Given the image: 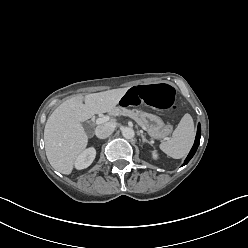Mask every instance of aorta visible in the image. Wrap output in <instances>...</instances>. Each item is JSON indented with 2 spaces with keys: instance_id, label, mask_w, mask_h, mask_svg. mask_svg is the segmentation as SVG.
<instances>
[{
  "instance_id": "obj_1",
  "label": "aorta",
  "mask_w": 248,
  "mask_h": 248,
  "mask_svg": "<svg viewBox=\"0 0 248 248\" xmlns=\"http://www.w3.org/2000/svg\"><path fill=\"white\" fill-rule=\"evenodd\" d=\"M122 135L126 139H131V138L134 137L135 132H134V130L131 127H124L122 129Z\"/></svg>"
}]
</instances>
